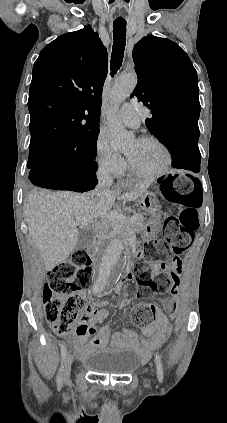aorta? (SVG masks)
<instances>
[{
  "label": "aorta",
  "instance_id": "762f6f07",
  "mask_svg": "<svg viewBox=\"0 0 227 423\" xmlns=\"http://www.w3.org/2000/svg\"><path fill=\"white\" fill-rule=\"evenodd\" d=\"M136 84L135 75L121 74L116 78L110 92L112 107L108 111L107 126L111 145L115 149H122L133 140L132 134L125 130L115 114L119 104L130 96ZM124 265V245L120 238L101 244L94 256L93 271L96 284L104 287L116 283L121 276Z\"/></svg>",
  "mask_w": 227,
  "mask_h": 423
}]
</instances>
